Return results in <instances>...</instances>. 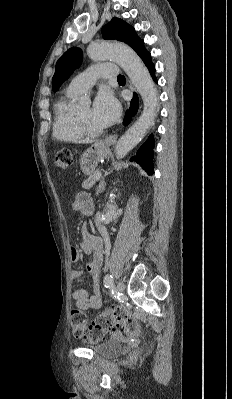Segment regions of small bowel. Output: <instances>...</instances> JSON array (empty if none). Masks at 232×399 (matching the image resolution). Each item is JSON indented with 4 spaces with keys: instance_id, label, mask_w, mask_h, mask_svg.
<instances>
[{
    "instance_id": "small-bowel-1",
    "label": "small bowel",
    "mask_w": 232,
    "mask_h": 399,
    "mask_svg": "<svg viewBox=\"0 0 232 399\" xmlns=\"http://www.w3.org/2000/svg\"><path fill=\"white\" fill-rule=\"evenodd\" d=\"M72 206L76 210L90 211L93 208V201L89 193L79 192L75 195ZM85 235L84 241L81 242L80 248L91 254V260L87 264V270L92 277V290L95 293L94 296H89L83 289L77 288L71 292V296L75 301L78 308L81 309H98L101 306V288L98 282V276L100 268L102 266V246L104 244V238L102 236L95 235L89 231L86 227L82 228ZM80 259V252L76 248L69 249V260L71 262H77ZM83 282V270L78 269L71 273L70 283L72 285Z\"/></svg>"
}]
</instances>
